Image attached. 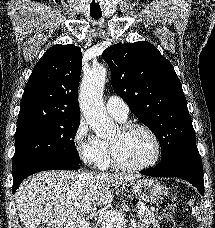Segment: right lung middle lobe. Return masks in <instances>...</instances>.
Here are the masks:
<instances>
[{"label": "right lung middle lobe", "mask_w": 215, "mask_h": 228, "mask_svg": "<svg viewBox=\"0 0 215 228\" xmlns=\"http://www.w3.org/2000/svg\"><path fill=\"white\" fill-rule=\"evenodd\" d=\"M79 123V119H62L17 126L13 168L41 159L80 163L74 143Z\"/></svg>", "instance_id": "obj_1"}]
</instances>
